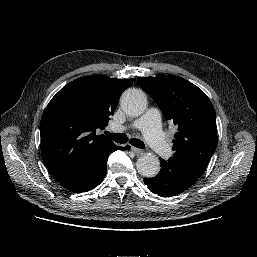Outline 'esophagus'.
Here are the masks:
<instances>
[{
  "label": "esophagus",
  "mask_w": 257,
  "mask_h": 257,
  "mask_svg": "<svg viewBox=\"0 0 257 257\" xmlns=\"http://www.w3.org/2000/svg\"><path fill=\"white\" fill-rule=\"evenodd\" d=\"M131 150L136 154V155H140L143 153L142 149L136 148V147H131Z\"/></svg>",
  "instance_id": "esophagus-1"
}]
</instances>
